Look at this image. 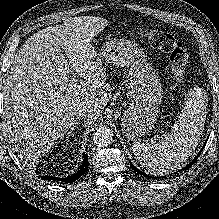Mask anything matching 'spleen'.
Returning a JSON list of instances; mask_svg holds the SVG:
<instances>
[{
	"instance_id": "1",
	"label": "spleen",
	"mask_w": 219,
	"mask_h": 219,
	"mask_svg": "<svg viewBox=\"0 0 219 219\" xmlns=\"http://www.w3.org/2000/svg\"><path fill=\"white\" fill-rule=\"evenodd\" d=\"M202 93L200 88L188 93L185 106L169 133L133 143V153L142 167L154 175H164L187 161L204 130L206 98Z\"/></svg>"
}]
</instances>
